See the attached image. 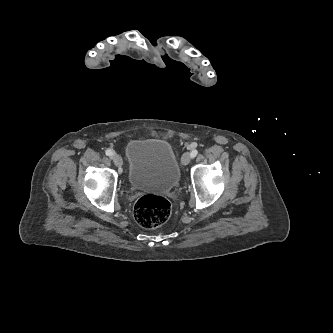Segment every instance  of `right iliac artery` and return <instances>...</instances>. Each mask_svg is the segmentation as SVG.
Returning a JSON list of instances; mask_svg holds the SVG:
<instances>
[{
    "mask_svg": "<svg viewBox=\"0 0 333 333\" xmlns=\"http://www.w3.org/2000/svg\"><path fill=\"white\" fill-rule=\"evenodd\" d=\"M105 153L107 156L111 157L114 154V151H113V149L108 148Z\"/></svg>",
    "mask_w": 333,
    "mask_h": 333,
    "instance_id": "obj_1",
    "label": "right iliac artery"
}]
</instances>
